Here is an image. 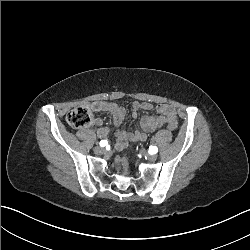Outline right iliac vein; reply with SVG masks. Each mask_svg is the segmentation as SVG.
<instances>
[{"instance_id": "63e3f726", "label": "right iliac vein", "mask_w": 250, "mask_h": 250, "mask_svg": "<svg viewBox=\"0 0 250 250\" xmlns=\"http://www.w3.org/2000/svg\"><path fill=\"white\" fill-rule=\"evenodd\" d=\"M105 150H104V148H102V147H100V146H97V147H95V149H94V152L96 153V154H102L103 152H104Z\"/></svg>"}]
</instances>
